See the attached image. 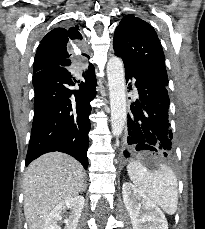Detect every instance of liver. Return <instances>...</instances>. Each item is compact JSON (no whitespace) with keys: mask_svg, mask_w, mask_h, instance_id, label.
Instances as JSON below:
<instances>
[{"mask_svg":"<svg viewBox=\"0 0 205 229\" xmlns=\"http://www.w3.org/2000/svg\"><path fill=\"white\" fill-rule=\"evenodd\" d=\"M84 183V169L71 156L51 152L28 166L23 180L24 214L29 229H43L50 211L76 197Z\"/></svg>","mask_w":205,"mask_h":229,"instance_id":"1","label":"liver"}]
</instances>
